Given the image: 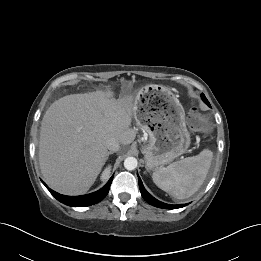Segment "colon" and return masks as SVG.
Instances as JSON below:
<instances>
[{
	"label": "colon",
	"mask_w": 261,
	"mask_h": 261,
	"mask_svg": "<svg viewBox=\"0 0 261 261\" xmlns=\"http://www.w3.org/2000/svg\"><path fill=\"white\" fill-rule=\"evenodd\" d=\"M187 124L191 131L203 132L207 129L208 121L206 117L197 110V108L192 107L188 113Z\"/></svg>",
	"instance_id": "5ec220e1"
}]
</instances>
